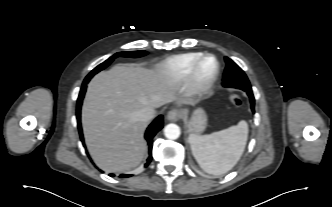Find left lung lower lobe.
<instances>
[{
  "label": "left lung lower lobe",
  "mask_w": 332,
  "mask_h": 207,
  "mask_svg": "<svg viewBox=\"0 0 332 207\" xmlns=\"http://www.w3.org/2000/svg\"><path fill=\"white\" fill-rule=\"evenodd\" d=\"M245 92L247 93V95L250 98L251 109L254 112L255 99H254V96H253V93H252V89H248Z\"/></svg>",
  "instance_id": "0a47b994"
}]
</instances>
